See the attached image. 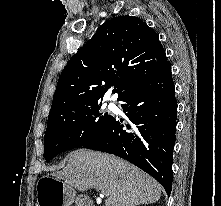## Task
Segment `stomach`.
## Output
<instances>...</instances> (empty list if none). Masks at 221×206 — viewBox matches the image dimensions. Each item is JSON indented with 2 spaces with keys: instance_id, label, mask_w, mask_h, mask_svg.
Here are the masks:
<instances>
[{
  "instance_id": "obj_1",
  "label": "stomach",
  "mask_w": 221,
  "mask_h": 206,
  "mask_svg": "<svg viewBox=\"0 0 221 206\" xmlns=\"http://www.w3.org/2000/svg\"><path fill=\"white\" fill-rule=\"evenodd\" d=\"M40 184L48 187L46 194L42 193ZM40 184L37 191V206H70L73 203L75 191L65 182L47 176L40 180Z\"/></svg>"
}]
</instances>
